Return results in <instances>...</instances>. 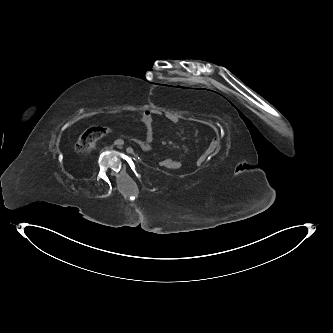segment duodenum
<instances>
[{
	"mask_svg": "<svg viewBox=\"0 0 333 333\" xmlns=\"http://www.w3.org/2000/svg\"><path fill=\"white\" fill-rule=\"evenodd\" d=\"M134 142L143 150V151H150L151 150V146L144 142V141H141V140H138V139H135Z\"/></svg>",
	"mask_w": 333,
	"mask_h": 333,
	"instance_id": "1",
	"label": "duodenum"
}]
</instances>
